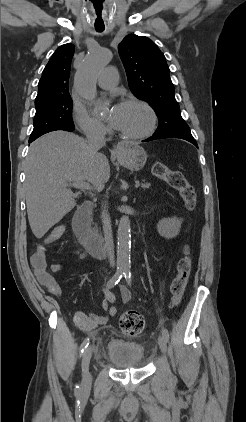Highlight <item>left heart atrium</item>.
Listing matches in <instances>:
<instances>
[{
	"label": "left heart atrium",
	"mask_w": 246,
	"mask_h": 422,
	"mask_svg": "<svg viewBox=\"0 0 246 422\" xmlns=\"http://www.w3.org/2000/svg\"><path fill=\"white\" fill-rule=\"evenodd\" d=\"M121 106L120 104H115L108 116V122L115 128L119 127L120 118H121Z\"/></svg>",
	"instance_id": "obj_1"
}]
</instances>
